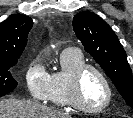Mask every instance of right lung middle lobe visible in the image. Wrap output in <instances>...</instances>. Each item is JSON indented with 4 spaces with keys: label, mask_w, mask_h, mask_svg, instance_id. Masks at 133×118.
Segmentation results:
<instances>
[{
    "label": "right lung middle lobe",
    "mask_w": 133,
    "mask_h": 118,
    "mask_svg": "<svg viewBox=\"0 0 133 118\" xmlns=\"http://www.w3.org/2000/svg\"><path fill=\"white\" fill-rule=\"evenodd\" d=\"M17 63V60H0V97L14 90L17 86V81L12 77V67Z\"/></svg>",
    "instance_id": "right-lung-middle-lobe-1"
}]
</instances>
